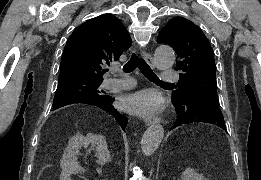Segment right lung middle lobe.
Masks as SVG:
<instances>
[{
	"mask_svg": "<svg viewBox=\"0 0 261 180\" xmlns=\"http://www.w3.org/2000/svg\"><path fill=\"white\" fill-rule=\"evenodd\" d=\"M101 82L102 80L80 79L59 81L53 101L54 109L62 107L64 103L75 98L84 97L92 100L101 98L105 93L103 90L98 89Z\"/></svg>",
	"mask_w": 261,
	"mask_h": 180,
	"instance_id": "obj_1",
	"label": "right lung middle lobe"
}]
</instances>
